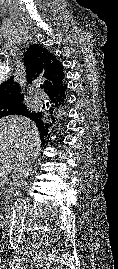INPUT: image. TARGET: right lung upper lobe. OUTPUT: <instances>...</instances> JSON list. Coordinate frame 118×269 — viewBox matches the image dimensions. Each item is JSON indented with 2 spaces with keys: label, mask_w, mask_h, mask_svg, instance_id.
<instances>
[{
  "label": "right lung upper lobe",
  "mask_w": 118,
  "mask_h": 269,
  "mask_svg": "<svg viewBox=\"0 0 118 269\" xmlns=\"http://www.w3.org/2000/svg\"><path fill=\"white\" fill-rule=\"evenodd\" d=\"M24 65L27 72V82H42L43 89L48 95L50 103L38 112H30L25 107L20 115L28 116L36 122L40 130L41 139L48 136L49 127L55 122L53 110L65 105L66 84L64 83L63 66L56 56L39 45H31L24 56ZM20 85L11 77L0 84V107L21 103L23 95Z\"/></svg>",
  "instance_id": "right-lung-upper-lobe-1"
}]
</instances>
